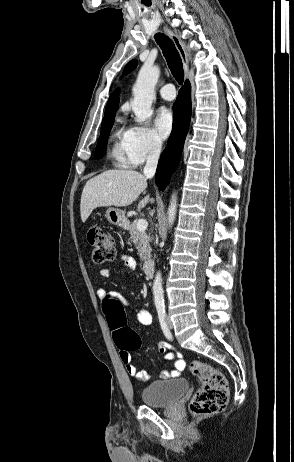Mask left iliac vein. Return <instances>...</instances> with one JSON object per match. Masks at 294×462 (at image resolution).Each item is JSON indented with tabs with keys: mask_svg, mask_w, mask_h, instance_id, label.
<instances>
[{
	"mask_svg": "<svg viewBox=\"0 0 294 462\" xmlns=\"http://www.w3.org/2000/svg\"><path fill=\"white\" fill-rule=\"evenodd\" d=\"M166 322H167L168 328H169V329H172V328H173V324H172V321L170 320L169 315H166Z\"/></svg>",
	"mask_w": 294,
	"mask_h": 462,
	"instance_id": "1",
	"label": "left iliac vein"
}]
</instances>
